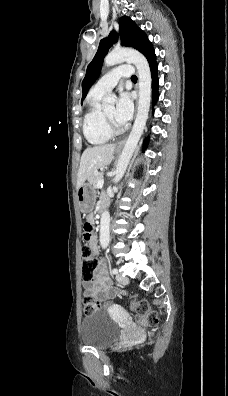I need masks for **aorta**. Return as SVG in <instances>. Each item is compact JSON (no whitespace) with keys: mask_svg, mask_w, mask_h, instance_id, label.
I'll list each match as a JSON object with an SVG mask.
<instances>
[{"mask_svg":"<svg viewBox=\"0 0 228 396\" xmlns=\"http://www.w3.org/2000/svg\"><path fill=\"white\" fill-rule=\"evenodd\" d=\"M123 62L133 63L138 71L139 80V101L137 116L131 130V133L125 143L124 149L118 163L113 182L116 184L123 177L132 154L143 133L148 119V113L151 102V72L147 59L139 51L134 49H118L111 51L104 59L106 66H113ZM116 101V95L109 94L104 97L102 105L104 107L113 105ZM110 242V214L106 210L101 215L100 222V244L106 248Z\"/></svg>","mask_w":228,"mask_h":396,"instance_id":"1","label":"aorta"}]
</instances>
